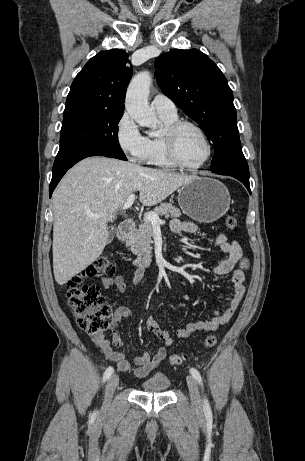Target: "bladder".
Instances as JSON below:
<instances>
[{"label":"bladder","mask_w":305,"mask_h":461,"mask_svg":"<svg viewBox=\"0 0 305 461\" xmlns=\"http://www.w3.org/2000/svg\"><path fill=\"white\" fill-rule=\"evenodd\" d=\"M170 385L171 381L166 375L156 374L141 381L140 388L148 393H164L169 389Z\"/></svg>","instance_id":"31cf9c89"}]
</instances>
